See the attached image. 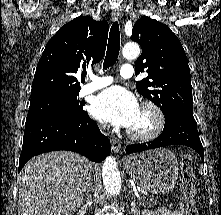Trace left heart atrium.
<instances>
[{
	"instance_id": "1",
	"label": "left heart atrium",
	"mask_w": 221,
	"mask_h": 215,
	"mask_svg": "<svg viewBox=\"0 0 221 215\" xmlns=\"http://www.w3.org/2000/svg\"><path fill=\"white\" fill-rule=\"evenodd\" d=\"M91 111L98 120L130 128L139 114L140 107L131 92L113 86L95 98Z\"/></svg>"
}]
</instances>
